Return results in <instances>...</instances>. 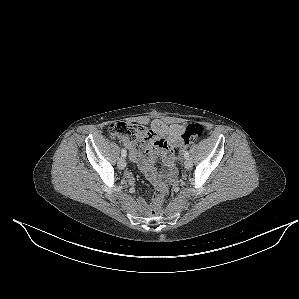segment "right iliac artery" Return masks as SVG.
Returning <instances> with one entry per match:
<instances>
[{
	"label": "right iliac artery",
	"instance_id": "1",
	"mask_svg": "<svg viewBox=\"0 0 299 299\" xmlns=\"http://www.w3.org/2000/svg\"><path fill=\"white\" fill-rule=\"evenodd\" d=\"M121 155H122V157H126V155H127V152L124 148H122V150H121Z\"/></svg>",
	"mask_w": 299,
	"mask_h": 299
}]
</instances>
